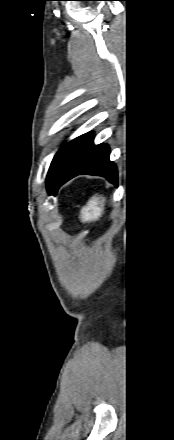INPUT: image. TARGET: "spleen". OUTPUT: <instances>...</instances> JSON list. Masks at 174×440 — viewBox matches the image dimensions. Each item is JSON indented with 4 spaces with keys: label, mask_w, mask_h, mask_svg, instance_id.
Listing matches in <instances>:
<instances>
[{
    "label": "spleen",
    "mask_w": 174,
    "mask_h": 440,
    "mask_svg": "<svg viewBox=\"0 0 174 440\" xmlns=\"http://www.w3.org/2000/svg\"><path fill=\"white\" fill-rule=\"evenodd\" d=\"M105 206V198L99 195H94L83 207L81 211V220L83 222L96 221L101 217Z\"/></svg>",
    "instance_id": "3e777b00"
}]
</instances>
